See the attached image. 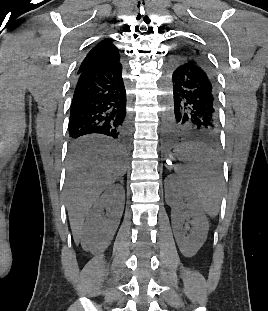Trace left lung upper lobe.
<instances>
[{"label":"left lung upper lobe","instance_id":"1","mask_svg":"<svg viewBox=\"0 0 268 311\" xmlns=\"http://www.w3.org/2000/svg\"><path fill=\"white\" fill-rule=\"evenodd\" d=\"M184 47L189 51L190 55L200 56V57L206 58V56L203 54V52L200 49H198L197 47L190 45V44L184 45Z\"/></svg>","mask_w":268,"mask_h":311}]
</instances>
